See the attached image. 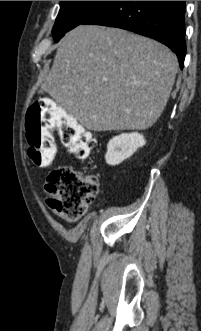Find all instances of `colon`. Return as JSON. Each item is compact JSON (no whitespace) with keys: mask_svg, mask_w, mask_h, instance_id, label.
<instances>
[{"mask_svg":"<svg viewBox=\"0 0 201 331\" xmlns=\"http://www.w3.org/2000/svg\"><path fill=\"white\" fill-rule=\"evenodd\" d=\"M54 130L63 145L78 158L87 157L96 145L91 134L75 118L51 99H40L29 107L26 115L28 156L34 164L48 166L54 161ZM46 190L50 195L47 205L62 218L76 221L96 197L99 179L71 167H58L48 175Z\"/></svg>","mask_w":201,"mask_h":331,"instance_id":"obj_1","label":"colon"}]
</instances>
